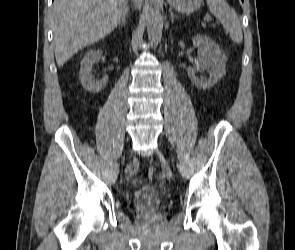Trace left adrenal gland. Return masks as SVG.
Returning a JSON list of instances; mask_svg holds the SVG:
<instances>
[{"label":"left adrenal gland","instance_id":"left-adrenal-gland-1","mask_svg":"<svg viewBox=\"0 0 295 250\" xmlns=\"http://www.w3.org/2000/svg\"><path fill=\"white\" fill-rule=\"evenodd\" d=\"M170 17H171V22L173 23L174 22V18L176 17L174 15V13L172 12V10L170 9Z\"/></svg>","mask_w":295,"mask_h":250}]
</instances>
